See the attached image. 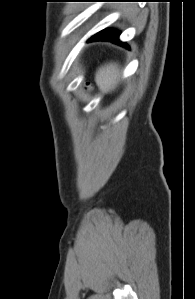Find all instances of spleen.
Returning a JSON list of instances; mask_svg holds the SVG:
<instances>
[{"mask_svg":"<svg viewBox=\"0 0 195 299\" xmlns=\"http://www.w3.org/2000/svg\"><path fill=\"white\" fill-rule=\"evenodd\" d=\"M118 75V67L114 63H109L101 67L95 76V81L100 88V90L105 91L108 89L115 81Z\"/></svg>","mask_w":195,"mask_h":299,"instance_id":"obj_1","label":"spleen"}]
</instances>
